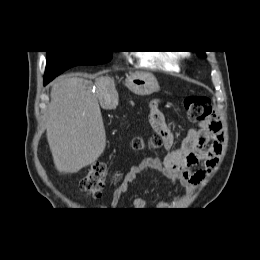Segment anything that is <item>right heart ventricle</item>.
Instances as JSON below:
<instances>
[{"label":"right heart ventricle","instance_id":"e07e8e85","mask_svg":"<svg viewBox=\"0 0 260 260\" xmlns=\"http://www.w3.org/2000/svg\"><path fill=\"white\" fill-rule=\"evenodd\" d=\"M139 59L146 66H158L167 71H178L180 69V56L176 54L142 53L139 55Z\"/></svg>","mask_w":260,"mask_h":260}]
</instances>
